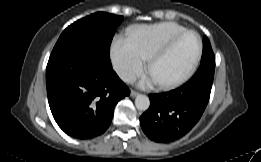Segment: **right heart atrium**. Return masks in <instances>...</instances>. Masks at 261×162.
I'll list each match as a JSON object with an SVG mask.
<instances>
[{"mask_svg": "<svg viewBox=\"0 0 261 162\" xmlns=\"http://www.w3.org/2000/svg\"><path fill=\"white\" fill-rule=\"evenodd\" d=\"M110 56L114 70L124 81H132L144 70L145 61L128 38H117L111 47Z\"/></svg>", "mask_w": 261, "mask_h": 162, "instance_id": "right-heart-atrium-1", "label": "right heart atrium"}]
</instances>
